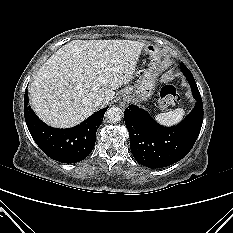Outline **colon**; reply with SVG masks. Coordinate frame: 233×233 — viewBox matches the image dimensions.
<instances>
[{"mask_svg":"<svg viewBox=\"0 0 233 233\" xmlns=\"http://www.w3.org/2000/svg\"><path fill=\"white\" fill-rule=\"evenodd\" d=\"M160 103L163 107L173 105L179 101L176 88L172 85H165L160 92Z\"/></svg>","mask_w":233,"mask_h":233,"instance_id":"colon-1","label":"colon"}]
</instances>
